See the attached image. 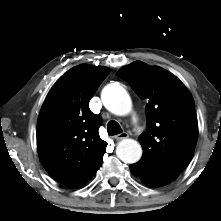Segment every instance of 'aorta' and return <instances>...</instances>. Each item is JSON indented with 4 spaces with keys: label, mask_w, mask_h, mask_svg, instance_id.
<instances>
[{
    "label": "aorta",
    "mask_w": 221,
    "mask_h": 221,
    "mask_svg": "<svg viewBox=\"0 0 221 221\" xmlns=\"http://www.w3.org/2000/svg\"><path fill=\"white\" fill-rule=\"evenodd\" d=\"M101 100L105 108L115 115L124 116L132 110L131 98L119 83L105 86L101 93ZM116 154L121 161L133 164L140 160L142 148L133 139H123L117 145Z\"/></svg>",
    "instance_id": "1"
}]
</instances>
